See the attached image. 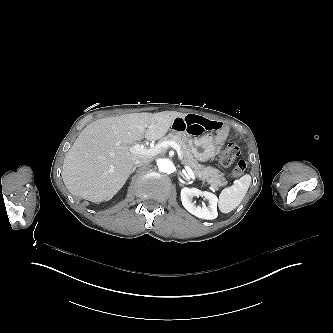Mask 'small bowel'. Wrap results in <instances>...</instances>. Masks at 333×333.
Masks as SVG:
<instances>
[{
    "label": "small bowel",
    "instance_id": "c3829d8e",
    "mask_svg": "<svg viewBox=\"0 0 333 333\" xmlns=\"http://www.w3.org/2000/svg\"><path fill=\"white\" fill-rule=\"evenodd\" d=\"M173 127L176 131L193 135H199L208 129L211 135L218 134L224 139L225 126L223 122L219 120L212 121L199 115L187 114L178 117L174 120Z\"/></svg>",
    "mask_w": 333,
    "mask_h": 333
}]
</instances>
